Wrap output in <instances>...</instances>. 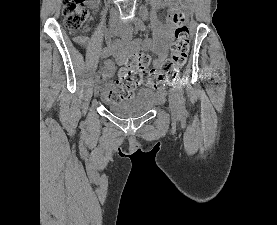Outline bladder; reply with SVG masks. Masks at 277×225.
<instances>
[{
	"instance_id": "31cf9c89",
	"label": "bladder",
	"mask_w": 277,
	"mask_h": 225,
	"mask_svg": "<svg viewBox=\"0 0 277 225\" xmlns=\"http://www.w3.org/2000/svg\"><path fill=\"white\" fill-rule=\"evenodd\" d=\"M159 103L151 90H142L134 98L126 101L108 103L107 109L121 118H135L151 111Z\"/></svg>"
}]
</instances>
